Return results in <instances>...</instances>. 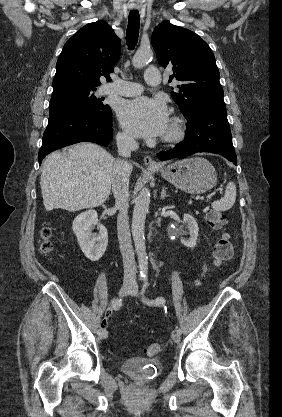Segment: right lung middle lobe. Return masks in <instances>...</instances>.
I'll use <instances>...</instances> for the list:
<instances>
[{
	"mask_svg": "<svg viewBox=\"0 0 282 417\" xmlns=\"http://www.w3.org/2000/svg\"><path fill=\"white\" fill-rule=\"evenodd\" d=\"M94 90L95 88H87L53 93L49 106L50 115L68 108L95 109L96 111L109 109V105H104L100 98L95 97Z\"/></svg>",
	"mask_w": 282,
	"mask_h": 417,
	"instance_id": "dd1d6c3e",
	"label": "right lung middle lobe"
}]
</instances>
